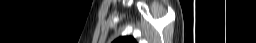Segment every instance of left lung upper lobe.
Masks as SVG:
<instances>
[{
	"mask_svg": "<svg viewBox=\"0 0 256 43\" xmlns=\"http://www.w3.org/2000/svg\"><path fill=\"white\" fill-rule=\"evenodd\" d=\"M114 43H136L133 37H120Z\"/></svg>",
	"mask_w": 256,
	"mask_h": 43,
	"instance_id": "left-lung-upper-lobe-1",
	"label": "left lung upper lobe"
}]
</instances>
